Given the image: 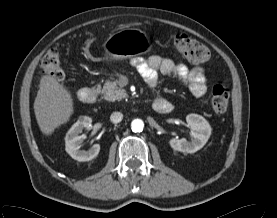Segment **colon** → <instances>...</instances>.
<instances>
[{
    "label": "colon",
    "instance_id": "1",
    "mask_svg": "<svg viewBox=\"0 0 277 218\" xmlns=\"http://www.w3.org/2000/svg\"><path fill=\"white\" fill-rule=\"evenodd\" d=\"M174 48L189 62L194 64L204 63L209 58L208 48L201 42L190 38L185 34H175L172 39ZM43 72L57 81L65 77L61 66L60 53L56 48L50 49L41 61ZM230 99V90L222 85H217L212 90L211 106L216 113L227 110Z\"/></svg>",
    "mask_w": 277,
    "mask_h": 218
}]
</instances>
